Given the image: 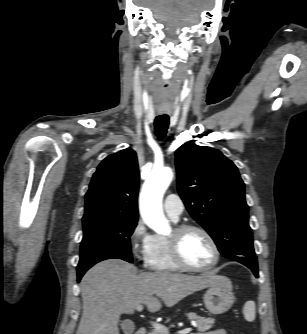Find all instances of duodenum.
Instances as JSON below:
<instances>
[{"label": "duodenum", "mask_w": 307, "mask_h": 334, "mask_svg": "<svg viewBox=\"0 0 307 334\" xmlns=\"http://www.w3.org/2000/svg\"><path fill=\"white\" fill-rule=\"evenodd\" d=\"M135 334H147V330L144 327H140L136 330Z\"/></svg>", "instance_id": "obj_1"}]
</instances>
